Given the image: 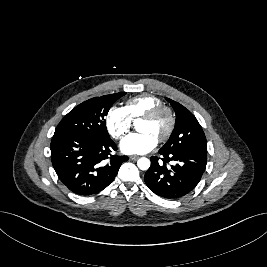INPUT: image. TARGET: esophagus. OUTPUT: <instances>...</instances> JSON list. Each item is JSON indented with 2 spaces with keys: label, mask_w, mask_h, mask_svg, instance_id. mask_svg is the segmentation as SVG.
Returning <instances> with one entry per match:
<instances>
[{
  "label": "esophagus",
  "mask_w": 267,
  "mask_h": 267,
  "mask_svg": "<svg viewBox=\"0 0 267 267\" xmlns=\"http://www.w3.org/2000/svg\"><path fill=\"white\" fill-rule=\"evenodd\" d=\"M138 158L139 156H136V155L130 156V160H137Z\"/></svg>",
  "instance_id": "1"
}]
</instances>
